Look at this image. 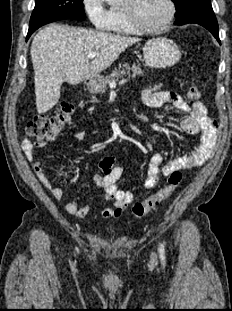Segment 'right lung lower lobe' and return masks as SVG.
Listing matches in <instances>:
<instances>
[{
    "label": "right lung lower lobe",
    "instance_id": "1",
    "mask_svg": "<svg viewBox=\"0 0 232 311\" xmlns=\"http://www.w3.org/2000/svg\"><path fill=\"white\" fill-rule=\"evenodd\" d=\"M62 19H66V18H57V19H53V20H49V21H46V22H42L40 24H36V25H33V26H30L29 30H28V34H27V39L31 36V34L37 30L39 27L45 25V24H48V23H51V22H54V21H58V20H62Z\"/></svg>",
    "mask_w": 232,
    "mask_h": 311
}]
</instances>
